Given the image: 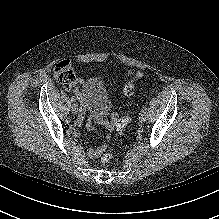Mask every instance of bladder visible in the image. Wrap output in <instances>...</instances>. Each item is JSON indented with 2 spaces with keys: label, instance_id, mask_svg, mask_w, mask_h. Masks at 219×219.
<instances>
[{
  "label": "bladder",
  "instance_id": "1",
  "mask_svg": "<svg viewBox=\"0 0 219 219\" xmlns=\"http://www.w3.org/2000/svg\"><path fill=\"white\" fill-rule=\"evenodd\" d=\"M82 93L88 112L96 119H106L111 113L113 105L103 79L99 76L87 78L83 84Z\"/></svg>",
  "mask_w": 219,
  "mask_h": 219
}]
</instances>
